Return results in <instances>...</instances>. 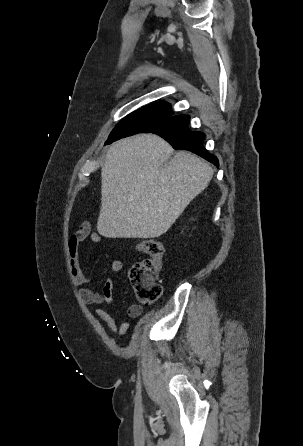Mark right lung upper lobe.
<instances>
[{
    "mask_svg": "<svg viewBox=\"0 0 303 446\" xmlns=\"http://www.w3.org/2000/svg\"><path fill=\"white\" fill-rule=\"evenodd\" d=\"M167 104V102L160 101L158 103L150 104L148 106L143 107V109H149V110H160L163 109Z\"/></svg>",
    "mask_w": 303,
    "mask_h": 446,
    "instance_id": "cb5924a9",
    "label": "right lung upper lobe"
}]
</instances>
